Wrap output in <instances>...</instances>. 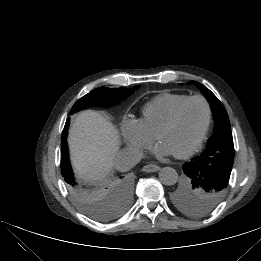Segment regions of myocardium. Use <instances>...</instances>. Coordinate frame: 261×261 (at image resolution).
Segmentation results:
<instances>
[{"label": "myocardium", "instance_id": "myocardium-1", "mask_svg": "<svg viewBox=\"0 0 261 261\" xmlns=\"http://www.w3.org/2000/svg\"><path fill=\"white\" fill-rule=\"evenodd\" d=\"M192 101H200L204 104L205 109H206V120H205L204 127L202 129V132L200 133V135L196 139V141L187 149H185L181 152H178V153H174V155L178 158H187V157L191 156L193 153H195L200 148V146L202 145V143L204 142V140L207 136V133L209 131V127L211 124L212 110H211V106H210L208 100L205 97H203L201 95L189 96L184 101H182L180 104H178L177 107L173 110V112L169 116V118L160 127V129L158 130V132L155 136L156 140L159 141L161 135L165 131L170 129L176 123V121H177L181 111L184 109V107Z\"/></svg>", "mask_w": 261, "mask_h": 261}]
</instances>
